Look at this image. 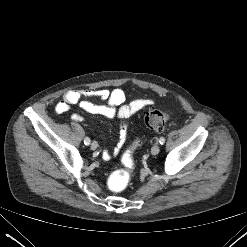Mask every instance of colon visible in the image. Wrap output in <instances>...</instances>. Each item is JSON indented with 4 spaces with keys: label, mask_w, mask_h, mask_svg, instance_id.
I'll use <instances>...</instances> for the list:
<instances>
[{
    "label": "colon",
    "mask_w": 247,
    "mask_h": 247,
    "mask_svg": "<svg viewBox=\"0 0 247 247\" xmlns=\"http://www.w3.org/2000/svg\"><path fill=\"white\" fill-rule=\"evenodd\" d=\"M169 120L170 116L167 113L156 108H149L145 114L146 126L156 132L163 131ZM137 145L138 142L123 153L121 159L122 168L113 171L109 175L107 183L110 190L120 192L128 186L135 168L133 151Z\"/></svg>",
    "instance_id": "1"
}]
</instances>
